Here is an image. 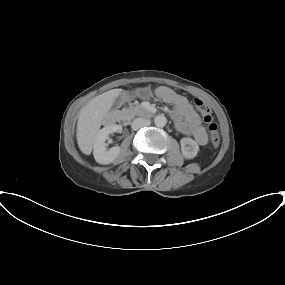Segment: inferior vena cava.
<instances>
[{
	"label": "inferior vena cava",
	"mask_w": 285,
	"mask_h": 285,
	"mask_svg": "<svg viewBox=\"0 0 285 285\" xmlns=\"http://www.w3.org/2000/svg\"><path fill=\"white\" fill-rule=\"evenodd\" d=\"M150 124H151V122L148 119L136 118L132 122V129L133 130H138V129L142 128V127L149 126Z\"/></svg>",
	"instance_id": "obj_1"
}]
</instances>
